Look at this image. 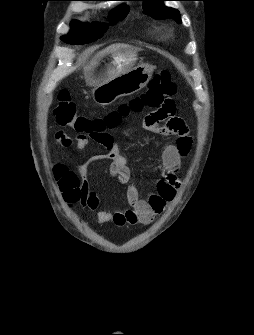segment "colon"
I'll list each match as a JSON object with an SVG mask.
<instances>
[{"mask_svg":"<svg viewBox=\"0 0 254 335\" xmlns=\"http://www.w3.org/2000/svg\"><path fill=\"white\" fill-rule=\"evenodd\" d=\"M175 92V82L172 80L170 73L163 70L155 74L148 88L129 103L122 104L118 110L111 111L105 118L89 119L78 112L68 91L63 89L58 94V103L54 108V115L60 126L78 133L79 137L109 146L110 135L107 131L118 126L123 117L130 112H138L144 108H160L163 104L162 100L172 98ZM60 169L65 170L62 166ZM73 196L75 199H79L81 196L80 190L77 189Z\"/></svg>","mask_w":254,"mask_h":335,"instance_id":"1","label":"colon"}]
</instances>
